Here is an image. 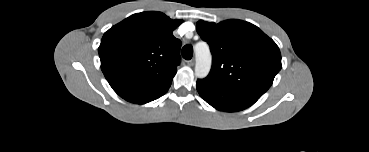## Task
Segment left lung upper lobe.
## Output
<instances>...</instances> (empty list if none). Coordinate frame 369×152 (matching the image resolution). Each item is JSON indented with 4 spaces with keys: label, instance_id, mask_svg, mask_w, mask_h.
Masks as SVG:
<instances>
[{
    "label": "left lung upper lobe",
    "instance_id": "left-lung-upper-lobe-1",
    "mask_svg": "<svg viewBox=\"0 0 369 152\" xmlns=\"http://www.w3.org/2000/svg\"><path fill=\"white\" fill-rule=\"evenodd\" d=\"M196 29L212 53V68L204 82L258 98L269 89L282 67L281 54L258 27L241 20L218 24L200 20Z\"/></svg>",
    "mask_w": 369,
    "mask_h": 152
}]
</instances>
